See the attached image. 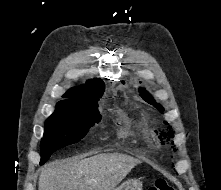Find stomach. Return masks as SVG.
I'll use <instances>...</instances> for the list:
<instances>
[{"instance_id":"0dacf381","label":"stomach","mask_w":221,"mask_h":190,"mask_svg":"<svg viewBox=\"0 0 221 190\" xmlns=\"http://www.w3.org/2000/svg\"><path fill=\"white\" fill-rule=\"evenodd\" d=\"M142 187V182L139 179H128L113 190H142Z\"/></svg>"}]
</instances>
